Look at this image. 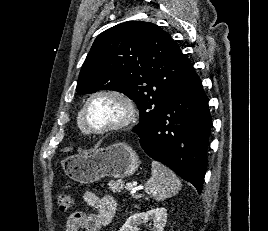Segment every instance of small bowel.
I'll list each match as a JSON object with an SVG mask.
<instances>
[{"instance_id":"1","label":"small bowel","mask_w":268,"mask_h":231,"mask_svg":"<svg viewBox=\"0 0 268 231\" xmlns=\"http://www.w3.org/2000/svg\"><path fill=\"white\" fill-rule=\"evenodd\" d=\"M82 200L93 211L72 213L65 225V231H101L116 214V201L109 195L100 198L93 191H85Z\"/></svg>"}]
</instances>
